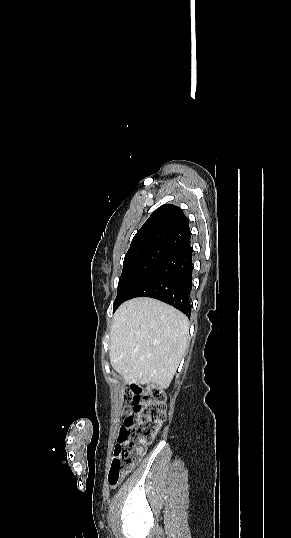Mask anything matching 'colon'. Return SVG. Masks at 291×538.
Returning <instances> with one entry per match:
<instances>
[{
	"mask_svg": "<svg viewBox=\"0 0 291 538\" xmlns=\"http://www.w3.org/2000/svg\"><path fill=\"white\" fill-rule=\"evenodd\" d=\"M128 406L117 436L108 484L116 487L140 460L145 448L159 434L166 415V397L156 387L134 385L124 396Z\"/></svg>",
	"mask_w": 291,
	"mask_h": 538,
	"instance_id": "5ec220e1",
	"label": "colon"
}]
</instances>
